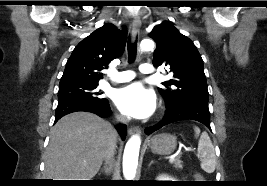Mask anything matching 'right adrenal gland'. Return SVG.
<instances>
[{
    "label": "right adrenal gland",
    "mask_w": 267,
    "mask_h": 186,
    "mask_svg": "<svg viewBox=\"0 0 267 186\" xmlns=\"http://www.w3.org/2000/svg\"><path fill=\"white\" fill-rule=\"evenodd\" d=\"M102 172H104L106 175H109L112 171V163L109 162L103 168L101 169Z\"/></svg>",
    "instance_id": "2a0ac1e0"
}]
</instances>
